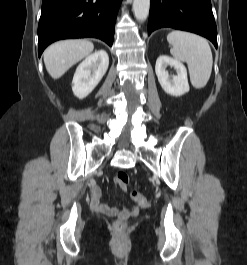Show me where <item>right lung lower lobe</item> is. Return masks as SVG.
I'll list each match as a JSON object with an SVG mask.
<instances>
[{
  "mask_svg": "<svg viewBox=\"0 0 247 265\" xmlns=\"http://www.w3.org/2000/svg\"><path fill=\"white\" fill-rule=\"evenodd\" d=\"M122 0H43L38 25V55L54 41L94 37L113 44Z\"/></svg>",
  "mask_w": 247,
  "mask_h": 265,
  "instance_id": "98d812e1",
  "label": "right lung lower lobe"
}]
</instances>
